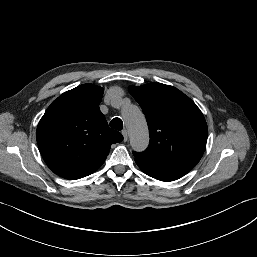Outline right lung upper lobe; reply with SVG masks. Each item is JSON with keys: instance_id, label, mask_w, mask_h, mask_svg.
<instances>
[{"instance_id": "cb5924a9", "label": "right lung upper lobe", "mask_w": 257, "mask_h": 257, "mask_svg": "<svg viewBox=\"0 0 257 257\" xmlns=\"http://www.w3.org/2000/svg\"><path fill=\"white\" fill-rule=\"evenodd\" d=\"M103 88L83 84L59 96L41 118L36 138L49 168L67 179L96 171L121 142V133L108 127L99 109Z\"/></svg>"}]
</instances>
